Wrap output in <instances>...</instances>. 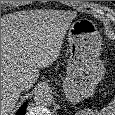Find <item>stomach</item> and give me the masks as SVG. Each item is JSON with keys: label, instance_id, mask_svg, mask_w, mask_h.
Instances as JSON below:
<instances>
[{"label": "stomach", "instance_id": "1", "mask_svg": "<svg viewBox=\"0 0 115 115\" xmlns=\"http://www.w3.org/2000/svg\"><path fill=\"white\" fill-rule=\"evenodd\" d=\"M67 39L70 58L63 91L71 103H77L91 97L104 77V63L99 58L101 41L92 22L86 20L72 23Z\"/></svg>", "mask_w": 115, "mask_h": 115}]
</instances>
